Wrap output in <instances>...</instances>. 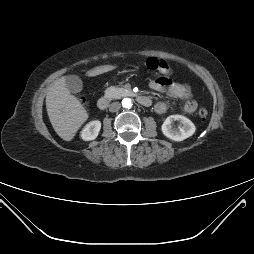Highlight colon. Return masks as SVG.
<instances>
[{"instance_id": "1", "label": "colon", "mask_w": 254, "mask_h": 254, "mask_svg": "<svg viewBox=\"0 0 254 254\" xmlns=\"http://www.w3.org/2000/svg\"><path fill=\"white\" fill-rule=\"evenodd\" d=\"M145 66L153 71H156L165 75H170L172 73V70L169 64L166 61L160 60L158 58L151 57L146 59ZM198 115L202 119L206 118L208 115L207 109L200 108L198 110Z\"/></svg>"}]
</instances>
